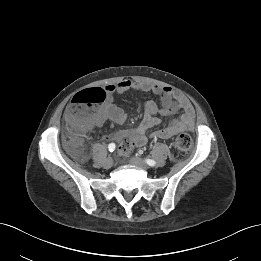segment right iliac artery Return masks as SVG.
Wrapping results in <instances>:
<instances>
[{"label": "right iliac artery", "instance_id": "right-iliac-artery-1", "mask_svg": "<svg viewBox=\"0 0 261 261\" xmlns=\"http://www.w3.org/2000/svg\"><path fill=\"white\" fill-rule=\"evenodd\" d=\"M115 148H116V145L114 143H110L108 145V149H109L110 152H113L115 150Z\"/></svg>", "mask_w": 261, "mask_h": 261}]
</instances>
